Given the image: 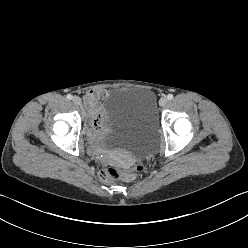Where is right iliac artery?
I'll return each mask as SVG.
<instances>
[{
    "label": "right iliac artery",
    "instance_id": "right-iliac-artery-1",
    "mask_svg": "<svg viewBox=\"0 0 248 248\" xmlns=\"http://www.w3.org/2000/svg\"><path fill=\"white\" fill-rule=\"evenodd\" d=\"M66 98H67L68 100H71V99H72V95L68 94V95L66 96Z\"/></svg>",
    "mask_w": 248,
    "mask_h": 248
}]
</instances>
